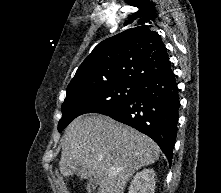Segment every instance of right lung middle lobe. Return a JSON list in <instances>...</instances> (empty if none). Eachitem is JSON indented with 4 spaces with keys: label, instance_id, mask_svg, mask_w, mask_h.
<instances>
[{
    "label": "right lung middle lobe",
    "instance_id": "dd1d6c3e",
    "mask_svg": "<svg viewBox=\"0 0 221 193\" xmlns=\"http://www.w3.org/2000/svg\"><path fill=\"white\" fill-rule=\"evenodd\" d=\"M142 83L116 82L67 90L62 104V118L58 124L61 132L73 119L86 113H99L112 109L133 98Z\"/></svg>",
    "mask_w": 221,
    "mask_h": 193
}]
</instances>
